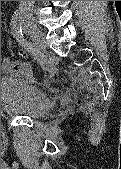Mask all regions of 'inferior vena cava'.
Returning <instances> with one entry per match:
<instances>
[{
    "instance_id": "obj_1",
    "label": "inferior vena cava",
    "mask_w": 121,
    "mask_h": 169,
    "mask_svg": "<svg viewBox=\"0 0 121 169\" xmlns=\"http://www.w3.org/2000/svg\"><path fill=\"white\" fill-rule=\"evenodd\" d=\"M25 2H27L28 4L34 3V1H25Z\"/></svg>"
}]
</instances>
